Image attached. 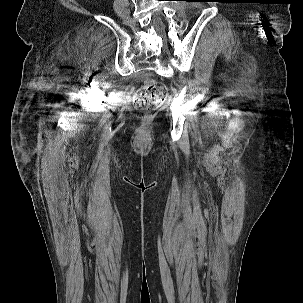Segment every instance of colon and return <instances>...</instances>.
<instances>
[{
	"mask_svg": "<svg viewBox=\"0 0 303 303\" xmlns=\"http://www.w3.org/2000/svg\"><path fill=\"white\" fill-rule=\"evenodd\" d=\"M168 96L167 87L149 79L136 91V104L143 110H154L162 105Z\"/></svg>",
	"mask_w": 303,
	"mask_h": 303,
	"instance_id": "obj_1",
	"label": "colon"
}]
</instances>
